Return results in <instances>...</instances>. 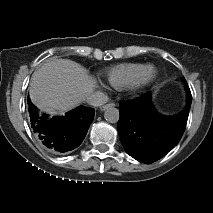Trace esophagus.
<instances>
[{
    "label": "esophagus",
    "mask_w": 213,
    "mask_h": 213,
    "mask_svg": "<svg viewBox=\"0 0 213 213\" xmlns=\"http://www.w3.org/2000/svg\"><path fill=\"white\" fill-rule=\"evenodd\" d=\"M114 106H115L114 103H108V104H106V105L101 106V107H100V110H101V111H104V110H106L108 107H114Z\"/></svg>",
    "instance_id": "34e87169"
}]
</instances>
